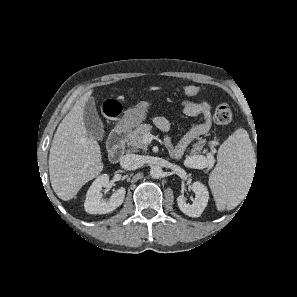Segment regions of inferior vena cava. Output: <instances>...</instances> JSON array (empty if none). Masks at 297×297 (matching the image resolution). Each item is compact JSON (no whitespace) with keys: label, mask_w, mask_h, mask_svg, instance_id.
<instances>
[{"label":"inferior vena cava","mask_w":297,"mask_h":297,"mask_svg":"<svg viewBox=\"0 0 297 297\" xmlns=\"http://www.w3.org/2000/svg\"><path fill=\"white\" fill-rule=\"evenodd\" d=\"M143 164L142 157L136 154H127L121 158L120 165L125 170H134Z\"/></svg>","instance_id":"1"}]
</instances>
